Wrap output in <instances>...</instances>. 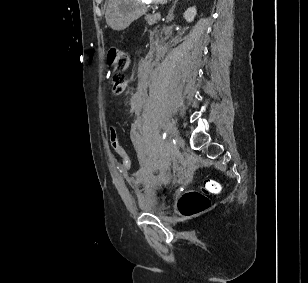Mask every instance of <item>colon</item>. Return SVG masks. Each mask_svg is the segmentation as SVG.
I'll return each mask as SVG.
<instances>
[{"instance_id": "colon-1", "label": "colon", "mask_w": 308, "mask_h": 283, "mask_svg": "<svg viewBox=\"0 0 308 283\" xmlns=\"http://www.w3.org/2000/svg\"><path fill=\"white\" fill-rule=\"evenodd\" d=\"M108 61L112 70L115 72L111 79V84L118 87L125 85V72L130 63L128 54L121 48L113 46L108 51ZM111 142L121 158L122 165L130 168L131 162L129 155L121 146L116 131L111 128ZM221 190V184L215 180H205L200 191H189L182 195L178 202L180 212L185 216H191L202 212L208 208L210 201L208 195L216 194Z\"/></svg>"}]
</instances>
